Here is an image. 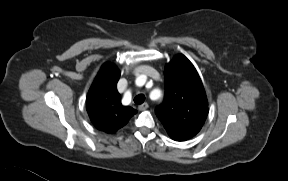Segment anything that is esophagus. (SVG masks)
Returning a JSON list of instances; mask_svg holds the SVG:
<instances>
[{"instance_id": "esophagus-1", "label": "esophagus", "mask_w": 288, "mask_h": 181, "mask_svg": "<svg viewBox=\"0 0 288 181\" xmlns=\"http://www.w3.org/2000/svg\"><path fill=\"white\" fill-rule=\"evenodd\" d=\"M148 107H149L148 103H143V104L138 106V109L140 111H144V110L148 109Z\"/></svg>"}]
</instances>
